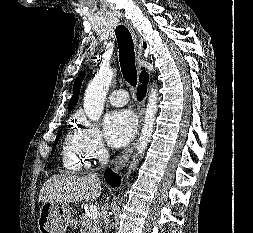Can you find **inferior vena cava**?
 I'll use <instances>...</instances> for the list:
<instances>
[{
  "label": "inferior vena cava",
  "mask_w": 253,
  "mask_h": 233,
  "mask_svg": "<svg viewBox=\"0 0 253 233\" xmlns=\"http://www.w3.org/2000/svg\"><path fill=\"white\" fill-rule=\"evenodd\" d=\"M93 176H94L95 178H97V174H93ZM104 222H105V224H106L105 229L108 230V229H109V226H108V225H109V218H108V215H105V216H104ZM106 233H109V232L106 231Z\"/></svg>",
  "instance_id": "1"
}]
</instances>
